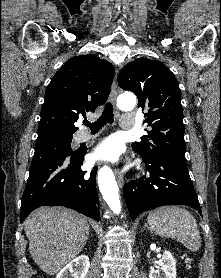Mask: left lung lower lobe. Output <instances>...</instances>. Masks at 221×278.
<instances>
[{
	"label": "left lung lower lobe",
	"instance_id": "obj_1",
	"mask_svg": "<svg viewBox=\"0 0 221 278\" xmlns=\"http://www.w3.org/2000/svg\"><path fill=\"white\" fill-rule=\"evenodd\" d=\"M149 177L126 183L124 198L135 220L143 212L164 205H186L202 215L197 194L187 169L185 152L170 151L145 160Z\"/></svg>",
	"mask_w": 221,
	"mask_h": 278
}]
</instances>
